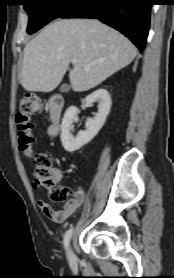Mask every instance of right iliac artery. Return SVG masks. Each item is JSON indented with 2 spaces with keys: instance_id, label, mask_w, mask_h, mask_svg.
Returning a JSON list of instances; mask_svg holds the SVG:
<instances>
[{
  "instance_id": "1",
  "label": "right iliac artery",
  "mask_w": 174,
  "mask_h": 278,
  "mask_svg": "<svg viewBox=\"0 0 174 278\" xmlns=\"http://www.w3.org/2000/svg\"><path fill=\"white\" fill-rule=\"evenodd\" d=\"M72 232H73V228H70V229L65 233V236H64V246H65L66 249L68 248V244H69V241H70V239H71Z\"/></svg>"
}]
</instances>
